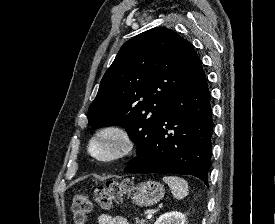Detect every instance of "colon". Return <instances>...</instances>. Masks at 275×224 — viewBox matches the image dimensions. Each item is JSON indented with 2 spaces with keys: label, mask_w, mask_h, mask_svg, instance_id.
Instances as JSON below:
<instances>
[{
  "label": "colon",
  "mask_w": 275,
  "mask_h": 224,
  "mask_svg": "<svg viewBox=\"0 0 275 224\" xmlns=\"http://www.w3.org/2000/svg\"><path fill=\"white\" fill-rule=\"evenodd\" d=\"M132 183L125 180L121 183L111 181L105 186L95 190L93 198L85 194H77L72 201L74 220L78 224H84L93 209L94 203L103 209L110 208L114 203H121L125 196L132 191Z\"/></svg>",
  "instance_id": "colon-1"
}]
</instances>
